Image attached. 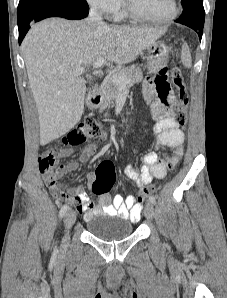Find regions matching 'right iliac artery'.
<instances>
[{
	"instance_id": "82829eb1",
	"label": "right iliac artery",
	"mask_w": 227,
	"mask_h": 298,
	"mask_svg": "<svg viewBox=\"0 0 227 298\" xmlns=\"http://www.w3.org/2000/svg\"><path fill=\"white\" fill-rule=\"evenodd\" d=\"M67 210H68V205H66V204L63 205L60 209L59 216L62 218L66 214ZM56 251L57 250H55V252Z\"/></svg>"
}]
</instances>
